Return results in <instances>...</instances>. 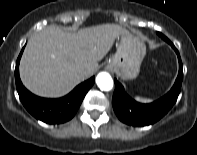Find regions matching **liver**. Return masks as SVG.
<instances>
[{
	"label": "liver",
	"mask_w": 197,
	"mask_h": 155,
	"mask_svg": "<svg viewBox=\"0 0 197 155\" xmlns=\"http://www.w3.org/2000/svg\"><path fill=\"white\" fill-rule=\"evenodd\" d=\"M129 34L116 24L67 33L51 25L33 35L20 62L25 87L42 97H60L93 75L115 39ZM85 70V72H83Z\"/></svg>",
	"instance_id": "liver-1"
}]
</instances>
